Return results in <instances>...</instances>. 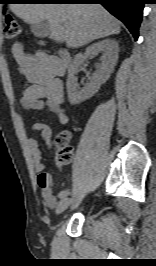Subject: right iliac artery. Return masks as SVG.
I'll return each mask as SVG.
<instances>
[{"instance_id": "1", "label": "right iliac artery", "mask_w": 156, "mask_h": 266, "mask_svg": "<svg viewBox=\"0 0 156 266\" xmlns=\"http://www.w3.org/2000/svg\"><path fill=\"white\" fill-rule=\"evenodd\" d=\"M68 195H69V191H67V190H63V191H61V192L58 194V197H59L60 199H64V198H66Z\"/></svg>"}]
</instances>
